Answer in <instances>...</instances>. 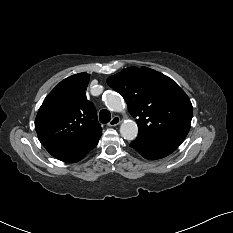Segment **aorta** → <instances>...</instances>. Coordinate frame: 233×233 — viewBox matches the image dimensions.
Returning a JSON list of instances; mask_svg holds the SVG:
<instances>
[{
  "instance_id": "aorta-1",
  "label": "aorta",
  "mask_w": 233,
  "mask_h": 233,
  "mask_svg": "<svg viewBox=\"0 0 233 233\" xmlns=\"http://www.w3.org/2000/svg\"><path fill=\"white\" fill-rule=\"evenodd\" d=\"M106 106L115 112H120L124 109L125 104L123 98L115 92H108L105 95ZM120 134L126 140H134L138 134V126L133 120H126L120 126Z\"/></svg>"
}]
</instances>
